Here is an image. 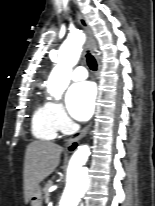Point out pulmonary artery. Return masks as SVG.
Here are the masks:
<instances>
[{"mask_svg":"<svg viewBox=\"0 0 155 206\" xmlns=\"http://www.w3.org/2000/svg\"><path fill=\"white\" fill-rule=\"evenodd\" d=\"M87 77V71L84 67H77L71 73V79L73 80H83Z\"/></svg>","mask_w":155,"mask_h":206,"instance_id":"1","label":"pulmonary artery"}]
</instances>
